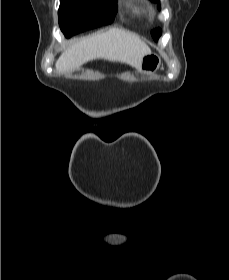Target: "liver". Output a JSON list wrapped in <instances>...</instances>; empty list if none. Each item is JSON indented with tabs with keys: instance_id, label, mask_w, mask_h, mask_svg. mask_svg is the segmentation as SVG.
Here are the masks:
<instances>
[{
	"instance_id": "1",
	"label": "liver",
	"mask_w": 229,
	"mask_h": 280,
	"mask_svg": "<svg viewBox=\"0 0 229 280\" xmlns=\"http://www.w3.org/2000/svg\"><path fill=\"white\" fill-rule=\"evenodd\" d=\"M150 53L151 49L137 34L111 28L73 43L57 60L56 70L75 71L95 59L126 63L140 70L142 58Z\"/></svg>"
}]
</instances>
